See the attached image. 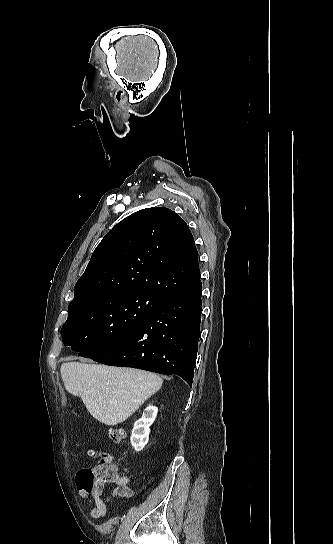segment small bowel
<instances>
[{
  "label": "small bowel",
  "mask_w": 333,
  "mask_h": 544,
  "mask_svg": "<svg viewBox=\"0 0 333 544\" xmlns=\"http://www.w3.org/2000/svg\"><path fill=\"white\" fill-rule=\"evenodd\" d=\"M129 479L127 477H119L113 491L103 496L104 486L96 487L92 490L79 487V495L87 501L91 506L90 515L93 519H101L107 514V504L116 497L130 498L133 496V491L128 486Z\"/></svg>",
  "instance_id": "1"
}]
</instances>
